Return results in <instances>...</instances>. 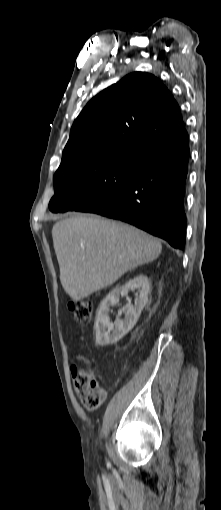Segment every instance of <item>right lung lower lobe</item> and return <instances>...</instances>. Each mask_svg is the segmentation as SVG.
I'll use <instances>...</instances> for the list:
<instances>
[{"instance_id":"obj_1","label":"right lung lower lobe","mask_w":221,"mask_h":510,"mask_svg":"<svg viewBox=\"0 0 221 510\" xmlns=\"http://www.w3.org/2000/svg\"><path fill=\"white\" fill-rule=\"evenodd\" d=\"M189 156L187 133L157 144L149 149L135 176L116 196L76 211L122 220L183 249Z\"/></svg>"}]
</instances>
